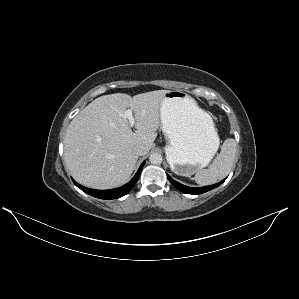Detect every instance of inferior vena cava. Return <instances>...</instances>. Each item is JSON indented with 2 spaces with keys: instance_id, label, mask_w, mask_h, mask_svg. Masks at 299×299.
<instances>
[{
  "instance_id": "1",
  "label": "inferior vena cava",
  "mask_w": 299,
  "mask_h": 299,
  "mask_svg": "<svg viewBox=\"0 0 299 299\" xmlns=\"http://www.w3.org/2000/svg\"><path fill=\"white\" fill-rule=\"evenodd\" d=\"M134 152H135V154L138 155V156H143V155L146 154V148H145V146H143V145H137V146H135V148H134Z\"/></svg>"
}]
</instances>
